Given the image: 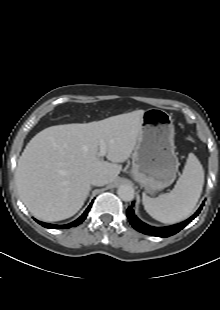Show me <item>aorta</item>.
Returning <instances> with one entry per match:
<instances>
[{
  "instance_id": "obj_1",
  "label": "aorta",
  "mask_w": 220,
  "mask_h": 310,
  "mask_svg": "<svg viewBox=\"0 0 220 310\" xmlns=\"http://www.w3.org/2000/svg\"><path fill=\"white\" fill-rule=\"evenodd\" d=\"M118 196L123 200V201H132L134 199V188L130 185H121L118 190H117Z\"/></svg>"
}]
</instances>
